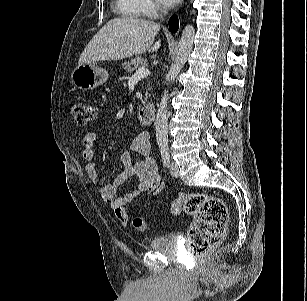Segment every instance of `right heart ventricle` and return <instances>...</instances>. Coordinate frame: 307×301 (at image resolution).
<instances>
[{
  "label": "right heart ventricle",
  "mask_w": 307,
  "mask_h": 301,
  "mask_svg": "<svg viewBox=\"0 0 307 301\" xmlns=\"http://www.w3.org/2000/svg\"><path fill=\"white\" fill-rule=\"evenodd\" d=\"M114 8L132 18H143L142 0H114Z\"/></svg>",
  "instance_id": "obj_1"
}]
</instances>
